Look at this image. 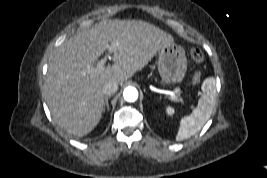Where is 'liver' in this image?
Here are the masks:
<instances>
[{
    "mask_svg": "<svg viewBox=\"0 0 267 178\" xmlns=\"http://www.w3.org/2000/svg\"><path fill=\"white\" fill-rule=\"evenodd\" d=\"M173 37L140 20H102L65 40L52 56L45 79V99L55 123L71 135L82 137L99 123L103 86L122 84L142 70ZM117 43L113 65L88 73L97 59Z\"/></svg>",
    "mask_w": 267,
    "mask_h": 178,
    "instance_id": "liver-1",
    "label": "liver"
}]
</instances>
